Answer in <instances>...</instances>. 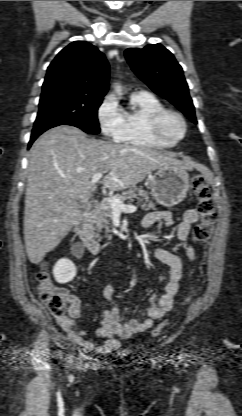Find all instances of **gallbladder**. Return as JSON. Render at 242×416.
I'll use <instances>...</instances> for the list:
<instances>
[{
  "label": "gallbladder",
  "mask_w": 242,
  "mask_h": 416,
  "mask_svg": "<svg viewBox=\"0 0 242 416\" xmlns=\"http://www.w3.org/2000/svg\"><path fill=\"white\" fill-rule=\"evenodd\" d=\"M78 204H79V207L81 209V212H83L86 209V203L81 202V201L78 200Z\"/></svg>",
  "instance_id": "1"
}]
</instances>
